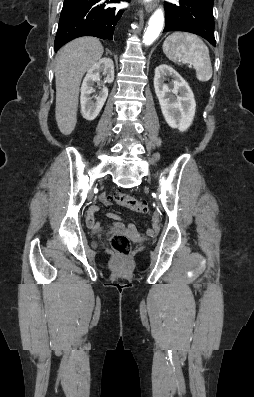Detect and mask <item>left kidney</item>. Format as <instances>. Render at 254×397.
Here are the masks:
<instances>
[{"mask_svg": "<svg viewBox=\"0 0 254 397\" xmlns=\"http://www.w3.org/2000/svg\"><path fill=\"white\" fill-rule=\"evenodd\" d=\"M166 76L173 78V88L164 83ZM154 88L167 124L180 132L186 131L195 116L196 102L188 83L172 67H156Z\"/></svg>", "mask_w": 254, "mask_h": 397, "instance_id": "obj_1", "label": "left kidney"}]
</instances>
